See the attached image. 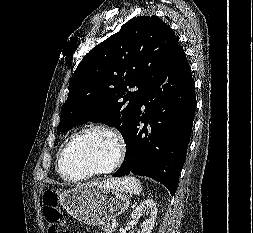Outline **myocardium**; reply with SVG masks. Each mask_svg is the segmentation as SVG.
I'll return each instance as SVG.
<instances>
[{
    "mask_svg": "<svg viewBox=\"0 0 253 233\" xmlns=\"http://www.w3.org/2000/svg\"><path fill=\"white\" fill-rule=\"evenodd\" d=\"M96 131L105 132V133L109 134L110 136H112L113 139L115 140V143L117 145V152H116V156H115L113 162L105 168L96 169V170L90 171V172H88L84 175H81V176H76V177L67 176L64 173L63 168H62L63 158H64V155H65L67 149L77 139L83 137L86 134L96 132ZM126 153H127L126 140H125L122 132L119 129H117L114 126H111L109 124H104V123L91 124L89 126L82 128L81 130L77 131L73 135H71L68 138V140L64 143V145L62 146V148L58 154L57 170H58V173L60 174V176L64 180H66L68 182H79V181H83V180L89 179L94 176L105 175V174H110V173L114 172L124 161Z\"/></svg>",
    "mask_w": 253,
    "mask_h": 233,
    "instance_id": "obj_1",
    "label": "myocardium"
}]
</instances>
